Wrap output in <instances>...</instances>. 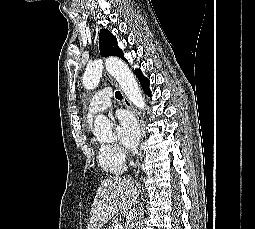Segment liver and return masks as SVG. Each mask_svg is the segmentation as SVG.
<instances>
[{"mask_svg": "<svg viewBox=\"0 0 255 229\" xmlns=\"http://www.w3.org/2000/svg\"><path fill=\"white\" fill-rule=\"evenodd\" d=\"M137 196V184L131 178L112 177L103 180L93 200L87 229H100L120 211L122 215H127Z\"/></svg>", "mask_w": 255, "mask_h": 229, "instance_id": "obj_1", "label": "liver"}]
</instances>
